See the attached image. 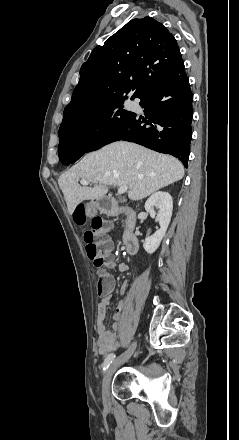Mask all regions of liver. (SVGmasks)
Returning a JSON list of instances; mask_svg holds the SVG:
<instances>
[{"mask_svg":"<svg viewBox=\"0 0 239 440\" xmlns=\"http://www.w3.org/2000/svg\"><path fill=\"white\" fill-rule=\"evenodd\" d=\"M143 176V178H138ZM184 168L176 158L157 154L130 142H114L98 152H91L79 164L64 172L58 180L69 214L83 200H98L108 192L107 186H127L129 200H143L157 190L182 180ZM79 180L97 184L79 186Z\"/></svg>","mask_w":239,"mask_h":440,"instance_id":"1","label":"liver"}]
</instances>
